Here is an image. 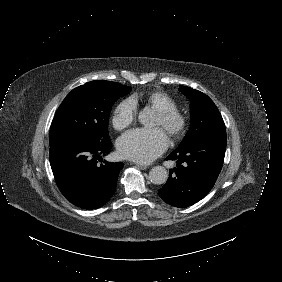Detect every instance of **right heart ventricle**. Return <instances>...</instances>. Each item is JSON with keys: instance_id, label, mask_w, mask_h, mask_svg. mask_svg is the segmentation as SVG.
Masks as SVG:
<instances>
[{"instance_id": "e07e8e85", "label": "right heart ventricle", "mask_w": 282, "mask_h": 282, "mask_svg": "<svg viewBox=\"0 0 282 282\" xmlns=\"http://www.w3.org/2000/svg\"><path fill=\"white\" fill-rule=\"evenodd\" d=\"M147 104L155 111L175 110V102L165 93L156 91L145 96ZM139 97L137 95L129 99V104L135 109L137 107Z\"/></svg>"}]
</instances>
